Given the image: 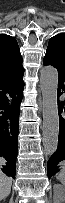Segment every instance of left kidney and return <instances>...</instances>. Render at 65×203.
Segmentation results:
<instances>
[{
	"label": "left kidney",
	"mask_w": 65,
	"mask_h": 203,
	"mask_svg": "<svg viewBox=\"0 0 65 203\" xmlns=\"http://www.w3.org/2000/svg\"><path fill=\"white\" fill-rule=\"evenodd\" d=\"M54 203H65V188L60 184H54Z\"/></svg>",
	"instance_id": "left-kidney-1"
}]
</instances>
